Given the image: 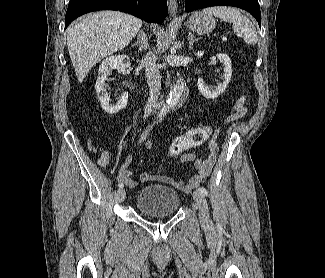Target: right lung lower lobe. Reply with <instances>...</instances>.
I'll return each instance as SVG.
<instances>
[{
  "label": "right lung lower lobe",
  "instance_id": "right-lung-lower-lobe-1",
  "mask_svg": "<svg viewBox=\"0 0 325 278\" xmlns=\"http://www.w3.org/2000/svg\"><path fill=\"white\" fill-rule=\"evenodd\" d=\"M96 10L121 11L158 24L168 15L167 0H70L65 28L77 17Z\"/></svg>",
  "mask_w": 325,
  "mask_h": 278
}]
</instances>
